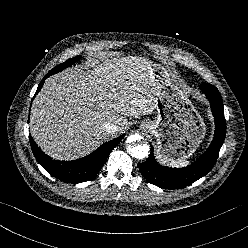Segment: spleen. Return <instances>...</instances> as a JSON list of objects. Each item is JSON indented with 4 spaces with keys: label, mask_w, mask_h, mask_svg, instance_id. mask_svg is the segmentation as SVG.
Returning a JSON list of instances; mask_svg holds the SVG:
<instances>
[{
    "label": "spleen",
    "mask_w": 248,
    "mask_h": 248,
    "mask_svg": "<svg viewBox=\"0 0 248 248\" xmlns=\"http://www.w3.org/2000/svg\"><path fill=\"white\" fill-rule=\"evenodd\" d=\"M162 161L164 163H167V165H169L171 167H186L190 163L189 161L182 160V159H177V160H173V161H170V162L169 161H165V160L162 159Z\"/></svg>",
    "instance_id": "obj_1"
}]
</instances>
